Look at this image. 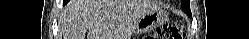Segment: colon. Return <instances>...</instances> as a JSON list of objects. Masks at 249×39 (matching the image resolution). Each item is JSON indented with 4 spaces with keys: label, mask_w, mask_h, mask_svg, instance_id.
Returning <instances> with one entry per match:
<instances>
[{
    "label": "colon",
    "mask_w": 249,
    "mask_h": 39,
    "mask_svg": "<svg viewBox=\"0 0 249 39\" xmlns=\"http://www.w3.org/2000/svg\"><path fill=\"white\" fill-rule=\"evenodd\" d=\"M185 32L183 23L176 21L159 26L154 33L145 37V39H184Z\"/></svg>",
    "instance_id": "colon-1"
}]
</instances>
